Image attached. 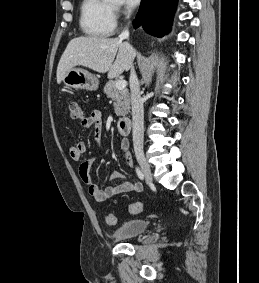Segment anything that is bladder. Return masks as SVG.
Wrapping results in <instances>:
<instances>
[{
    "instance_id": "1",
    "label": "bladder",
    "mask_w": 259,
    "mask_h": 283,
    "mask_svg": "<svg viewBox=\"0 0 259 283\" xmlns=\"http://www.w3.org/2000/svg\"><path fill=\"white\" fill-rule=\"evenodd\" d=\"M147 227L148 222L146 220H128L115 229L113 236L116 240L130 239L144 233Z\"/></svg>"
}]
</instances>
